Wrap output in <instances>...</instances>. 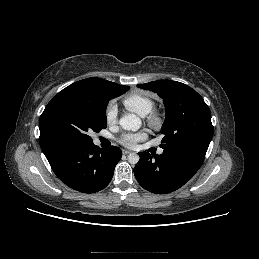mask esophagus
Listing matches in <instances>:
<instances>
[{
    "mask_svg": "<svg viewBox=\"0 0 259 259\" xmlns=\"http://www.w3.org/2000/svg\"><path fill=\"white\" fill-rule=\"evenodd\" d=\"M122 153H123L124 155H128V154H130V153H131V151L126 150V149H123V150H122Z\"/></svg>",
    "mask_w": 259,
    "mask_h": 259,
    "instance_id": "1",
    "label": "esophagus"
}]
</instances>
